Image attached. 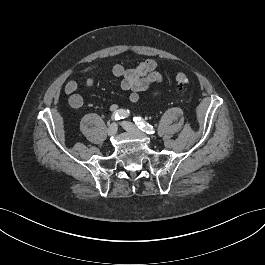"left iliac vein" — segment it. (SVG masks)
I'll return each mask as SVG.
<instances>
[{"label": "left iliac vein", "instance_id": "obj_1", "mask_svg": "<svg viewBox=\"0 0 265 265\" xmlns=\"http://www.w3.org/2000/svg\"><path fill=\"white\" fill-rule=\"evenodd\" d=\"M121 125L130 133H133L138 136H143L145 137V134L141 132L134 124L131 122L123 121Z\"/></svg>", "mask_w": 265, "mask_h": 265}]
</instances>
